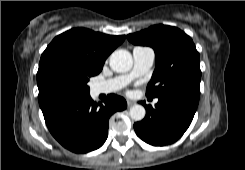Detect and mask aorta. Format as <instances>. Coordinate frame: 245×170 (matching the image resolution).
I'll return each mask as SVG.
<instances>
[{"instance_id": "aorta-1", "label": "aorta", "mask_w": 245, "mask_h": 170, "mask_svg": "<svg viewBox=\"0 0 245 170\" xmlns=\"http://www.w3.org/2000/svg\"><path fill=\"white\" fill-rule=\"evenodd\" d=\"M110 67L115 72H127L133 66V58L130 52L124 49L115 50L109 60ZM146 114L142 105L135 104L130 108L129 115L135 121H141Z\"/></svg>"}]
</instances>
